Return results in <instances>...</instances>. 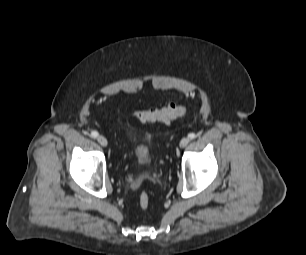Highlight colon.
Returning a JSON list of instances; mask_svg holds the SVG:
<instances>
[{
    "label": "colon",
    "instance_id": "colon-1",
    "mask_svg": "<svg viewBox=\"0 0 306 255\" xmlns=\"http://www.w3.org/2000/svg\"><path fill=\"white\" fill-rule=\"evenodd\" d=\"M187 109L182 104L171 103L163 108H149L136 110L132 114L142 122H167L169 120L185 115ZM139 205L146 210L150 205V197L146 191H142L139 196Z\"/></svg>",
    "mask_w": 306,
    "mask_h": 255
}]
</instances>
